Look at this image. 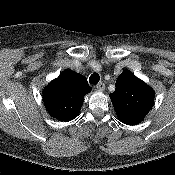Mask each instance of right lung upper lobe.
Here are the masks:
<instances>
[{"label":"right lung upper lobe","mask_w":175,"mask_h":175,"mask_svg":"<svg viewBox=\"0 0 175 175\" xmlns=\"http://www.w3.org/2000/svg\"><path fill=\"white\" fill-rule=\"evenodd\" d=\"M91 90L86 77L66 70L43 89V102L50 116L71 121L79 115L84 96Z\"/></svg>","instance_id":"right-lung-upper-lobe-1"}]
</instances>
